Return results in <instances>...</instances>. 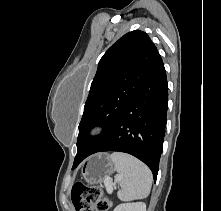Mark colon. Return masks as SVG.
<instances>
[{
  "label": "colon",
  "mask_w": 221,
  "mask_h": 211,
  "mask_svg": "<svg viewBox=\"0 0 221 211\" xmlns=\"http://www.w3.org/2000/svg\"><path fill=\"white\" fill-rule=\"evenodd\" d=\"M71 201L77 211H108V200L100 187H89L75 183L70 192Z\"/></svg>",
  "instance_id": "obj_1"
}]
</instances>
